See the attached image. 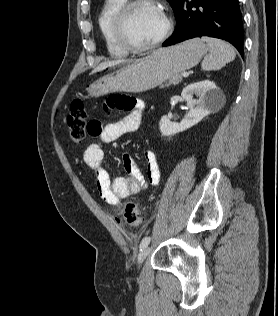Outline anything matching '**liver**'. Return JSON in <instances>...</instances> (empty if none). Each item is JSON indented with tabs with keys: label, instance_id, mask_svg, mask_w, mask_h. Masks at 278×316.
I'll list each match as a JSON object with an SVG mask.
<instances>
[{
	"label": "liver",
	"instance_id": "obj_1",
	"mask_svg": "<svg viewBox=\"0 0 278 316\" xmlns=\"http://www.w3.org/2000/svg\"><path fill=\"white\" fill-rule=\"evenodd\" d=\"M127 60H115V61H108V62H103L101 64H99L93 71L91 74L97 73L99 71H102L108 67H113L115 65H118L120 63L126 62Z\"/></svg>",
	"mask_w": 278,
	"mask_h": 316
}]
</instances>
